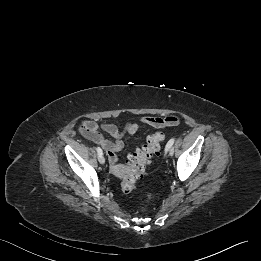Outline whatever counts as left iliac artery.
<instances>
[{
	"label": "left iliac artery",
	"mask_w": 261,
	"mask_h": 261,
	"mask_svg": "<svg viewBox=\"0 0 261 261\" xmlns=\"http://www.w3.org/2000/svg\"><path fill=\"white\" fill-rule=\"evenodd\" d=\"M174 141H175L174 138H172V139H170V140L168 141V143H167V145H166V148H165V151H167L169 148L172 147V145L174 144Z\"/></svg>",
	"instance_id": "left-iliac-artery-1"
}]
</instances>
